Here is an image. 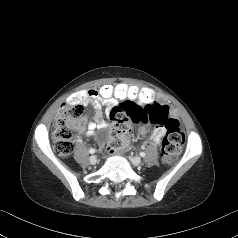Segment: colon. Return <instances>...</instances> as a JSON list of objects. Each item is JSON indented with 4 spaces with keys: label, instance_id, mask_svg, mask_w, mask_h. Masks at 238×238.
<instances>
[{
    "label": "colon",
    "instance_id": "5ec220e1",
    "mask_svg": "<svg viewBox=\"0 0 238 238\" xmlns=\"http://www.w3.org/2000/svg\"><path fill=\"white\" fill-rule=\"evenodd\" d=\"M98 96L103 101L124 102L113 107L109 116L113 122L108 143L109 152H116L128 142L129 122H150L164 125L166 130L162 140L161 159L170 164L179 155L185 136L179 122L172 117L169 106L156 104V93L152 89L126 83H102L98 87ZM84 108L81 103L66 102L54 120L51 134L53 148L60 156H67L74 148L75 131L81 124Z\"/></svg>",
    "mask_w": 238,
    "mask_h": 238
}]
</instances>
